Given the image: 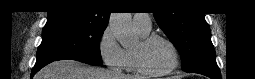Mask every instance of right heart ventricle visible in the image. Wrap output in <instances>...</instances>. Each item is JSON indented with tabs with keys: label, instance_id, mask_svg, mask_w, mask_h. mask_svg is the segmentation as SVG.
Returning <instances> with one entry per match:
<instances>
[{
	"label": "right heart ventricle",
	"instance_id": "e07e8e85",
	"mask_svg": "<svg viewBox=\"0 0 255 79\" xmlns=\"http://www.w3.org/2000/svg\"><path fill=\"white\" fill-rule=\"evenodd\" d=\"M136 31L142 38L149 34V31H143L138 28H136ZM124 50H125V59H126L125 67L127 72L136 73L137 69L135 66L134 54H133L134 49L126 48Z\"/></svg>",
	"mask_w": 255,
	"mask_h": 79
}]
</instances>
